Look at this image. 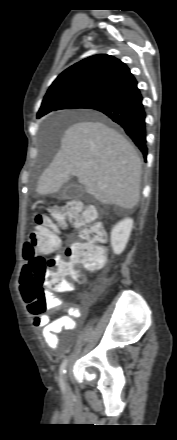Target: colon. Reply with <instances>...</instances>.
<instances>
[{
  "label": "colon",
  "mask_w": 177,
  "mask_h": 440,
  "mask_svg": "<svg viewBox=\"0 0 177 440\" xmlns=\"http://www.w3.org/2000/svg\"><path fill=\"white\" fill-rule=\"evenodd\" d=\"M96 211L83 208L79 201H69L62 207H54L49 214L38 215L35 226L23 246L27 264L23 268L20 291L35 316L45 308V288L61 291L70 279L81 282L83 276L77 266L99 269L105 260L102 226L95 223ZM70 227L77 232V239L65 250L64 256L44 257L59 246L58 228Z\"/></svg>",
  "instance_id": "5ec220e1"
}]
</instances>
